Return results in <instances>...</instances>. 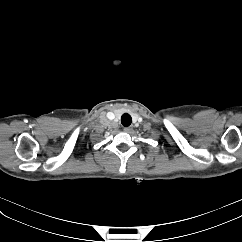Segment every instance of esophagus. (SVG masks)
Here are the masks:
<instances>
[{
  "mask_svg": "<svg viewBox=\"0 0 242 242\" xmlns=\"http://www.w3.org/2000/svg\"><path fill=\"white\" fill-rule=\"evenodd\" d=\"M132 130H133V128L131 126L124 128V131L127 133L131 132Z\"/></svg>",
  "mask_w": 242,
  "mask_h": 242,
  "instance_id": "obj_1",
  "label": "esophagus"
}]
</instances>
